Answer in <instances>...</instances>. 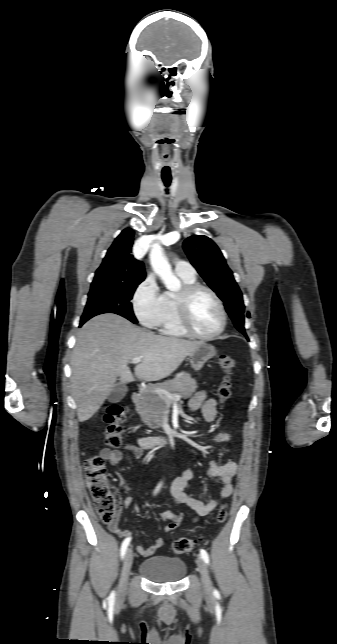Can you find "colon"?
Wrapping results in <instances>:
<instances>
[{"mask_svg":"<svg viewBox=\"0 0 337 644\" xmlns=\"http://www.w3.org/2000/svg\"><path fill=\"white\" fill-rule=\"evenodd\" d=\"M219 367L223 372V379L218 386L217 396L222 404L232 394L230 375L236 367V361L230 356H220ZM127 409L122 405H112L104 417L106 428L104 431L105 443L111 449H118L122 444L123 422L126 419ZM86 482L94 502L96 512L102 522L111 523L117 516L116 498L113 488L106 474V463L101 456L89 457L84 462ZM227 518L225 506H221L216 514V520L223 523ZM196 541L190 537H180L172 543V551L175 554H183L191 551Z\"/></svg>","mask_w":337,"mask_h":644,"instance_id":"obj_1","label":"colon"}]
</instances>
